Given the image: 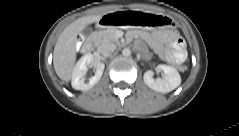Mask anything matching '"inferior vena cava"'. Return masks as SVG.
<instances>
[{
  "mask_svg": "<svg viewBox=\"0 0 239 136\" xmlns=\"http://www.w3.org/2000/svg\"><path fill=\"white\" fill-rule=\"evenodd\" d=\"M115 49H116V45L113 43H110V42L102 43L97 48V50L100 53H111V52L115 51Z\"/></svg>",
  "mask_w": 239,
  "mask_h": 136,
  "instance_id": "inferior-vena-cava-1",
  "label": "inferior vena cava"
}]
</instances>
